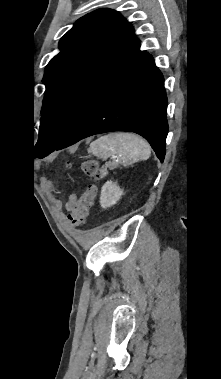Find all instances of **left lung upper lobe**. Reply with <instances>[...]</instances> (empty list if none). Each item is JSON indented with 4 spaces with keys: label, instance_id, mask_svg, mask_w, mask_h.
Returning <instances> with one entry per match:
<instances>
[{
    "label": "left lung upper lobe",
    "instance_id": "obj_1",
    "mask_svg": "<svg viewBox=\"0 0 221 379\" xmlns=\"http://www.w3.org/2000/svg\"><path fill=\"white\" fill-rule=\"evenodd\" d=\"M46 66L39 137L34 153L53 152L102 92L140 54L133 27L116 11L99 9L80 18L59 42Z\"/></svg>",
    "mask_w": 221,
    "mask_h": 379
}]
</instances>
